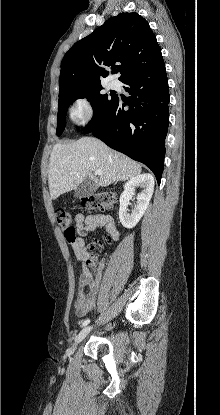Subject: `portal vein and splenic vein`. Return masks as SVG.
I'll return each instance as SVG.
<instances>
[{"label":"portal vein and splenic vein","instance_id":"18ae733b","mask_svg":"<svg viewBox=\"0 0 220 415\" xmlns=\"http://www.w3.org/2000/svg\"><path fill=\"white\" fill-rule=\"evenodd\" d=\"M95 175H98V176L102 175V171L101 170H96Z\"/></svg>","mask_w":220,"mask_h":415}]
</instances>
